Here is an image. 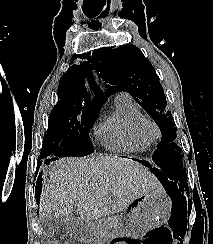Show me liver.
<instances>
[{
	"instance_id": "obj_1",
	"label": "liver",
	"mask_w": 213,
	"mask_h": 244,
	"mask_svg": "<svg viewBox=\"0 0 213 244\" xmlns=\"http://www.w3.org/2000/svg\"><path fill=\"white\" fill-rule=\"evenodd\" d=\"M160 189L151 171L132 159L61 158L42 177L39 211L42 218L58 219L68 217L76 207L81 219L91 223ZM95 227L101 230L103 226Z\"/></svg>"
}]
</instances>
